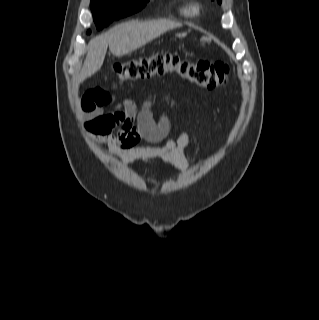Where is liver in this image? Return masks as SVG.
Returning <instances> with one entry per match:
<instances>
[{
    "mask_svg": "<svg viewBox=\"0 0 319 320\" xmlns=\"http://www.w3.org/2000/svg\"><path fill=\"white\" fill-rule=\"evenodd\" d=\"M178 27H181L180 23L169 20L129 21L93 38L88 44V52L80 72V81H84L101 68L108 46L113 55L121 57Z\"/></svg>",
    "mask_w": 319,
    "mask_h": 320,
    "instance_id": "1",
    "label": "liver"
}]
</instances>
